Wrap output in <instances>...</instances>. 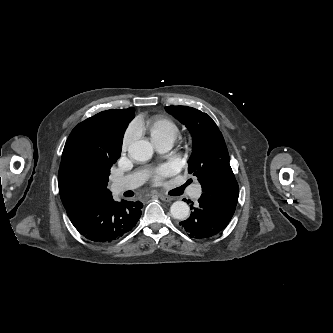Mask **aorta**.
Masks as SVG:
<instances>
[{"label":"aorta","instance_id":"aorta-1","mask_svg":"<svg viewBox=\"0 0 333 333\" xmlns=\"http://www.w3.org/2000/svg\"><path fill=\"white\" fill-rule=\"evenodd\" d=\"M128 154L131 158L137 161H147L152 158L153 146L146 140H138L130 144ZM190 209L187 203L176 201L171 205V215L178 220H185L190 214Z\"/></svg>","mask_w":333,"mask_h":333}]
</instances>
